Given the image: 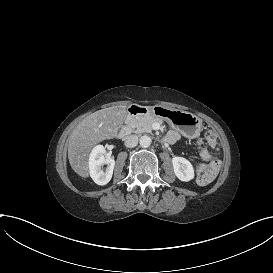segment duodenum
I'll return each instance as SVG.
<instances>
[{
    "mask_svg": "<svg viewBox=\"0 0 273 273\" xmlns=\"http://www.w3.org/2000/svg\"><path fill=\"white\" fill-rule=\"evenodd\" d=\"M147 113V110L143 107H137V106H133L129 109L128 111V115H127V125H125L124 127L121 128V130L118 133V137L119 138H124L126 137L129 133H130V127H129V123L130 121L140 115H145Z\"/></svg>",
    "mask_w": 273,
    "mask_h": 273,
    "instance_id": "1",
    "label": "duodenum"
}]
</instances>
